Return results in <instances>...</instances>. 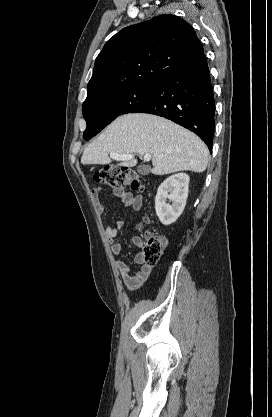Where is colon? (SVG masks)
<instances>
[{"label":"colon","mask_w":272,"mask_h":417,"mask_svg":"<svg viewBox=\"0 0 272 417\" xmlns=\"http://www.w3.org/2000/svg\"><path fill=\"white\" fill-rule=\"evenodd\" d=\"M93 178L96 182L114 188L129 187L133 190H142L143 182L127 168L107 165L97 170ZM168 244L165 236H148L142 254L144 264L153 266L164 253Z\"/></svg>","instance_id":"5ec220e1"}]
</instances>
